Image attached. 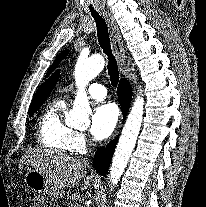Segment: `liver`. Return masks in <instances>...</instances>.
Returning a JSON list of instances; mask_svg holds the SVG:
<instances>
[{
  "label": "liver",
  "instance_id": "6515ba94",
  "mask_svg": "<svg viewBox=\"0 0 206 207\" xmlns=\"http://www.w3.org/2000/svg\"><path fill=\"white\" fill-rule=\"evenodd\" d=\"M22 163L29 164L48 178L56 189L61 190L60 197L64 195V188H72L78 184L87 168L85 162L54 150L30 152L23 157ZM93 182L96 180L87 176L82 190L89 188Z\"/></svg>",
  "mask_w": 206,
  "mask_h": 207
}]
</instances>
